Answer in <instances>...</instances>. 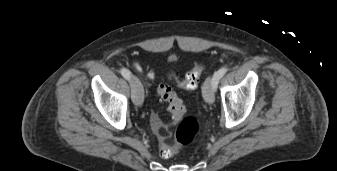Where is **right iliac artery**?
<instances>
[{"mask_svg":"<svg viewBox=\"0 0 337 171\" xmlns=\"http://www.w3.org/2000/svg\"><path fill=\"white\" fill-rule=\"evenodd\" d=\"M121 74L125 79H127V80L130 79V71L129 70L123 68V69H121Z\"/></svg>","mask_w":337,"mask_h":171,"instance_id":"1","label":"right iliac artery"}]
</instances>
